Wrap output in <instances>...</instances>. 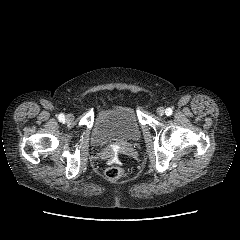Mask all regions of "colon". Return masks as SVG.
Listing matches in <instances>:
<instances>
[{
    "mask_svg": "<svg viewBox=\"0 0 240 240\" xmlns=\"http://www.w3.org/2000/svg\"><path fill=\"white\" fill-rule=\"evenodd\" d=\"M125 175V170L119 165L118 161H112L105 169V176L113 181L120 180Z\"/></svg>",
    "mask_w": 240,
    "mask_h": 240,
    "instance_id": "obj_1",
    "label": "colon"
}]
</instances>
